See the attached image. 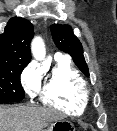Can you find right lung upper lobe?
Listing matches in <instances>:
<instances>
[{"label":"right lung upper lobe","instance_id":"1","mask_svg":"<svg viewBox=\"0 0 117 131\" xmlns=\"http://www.w3.org/2000/svg\"><path fill=\"white\" fill-rule=\"evenodd\" d=\"M33 25L22 17H13L0 35V66L25 65L31 60Z\"/></svg>","mask_w":117,"mask_h":131}]
</instances>
